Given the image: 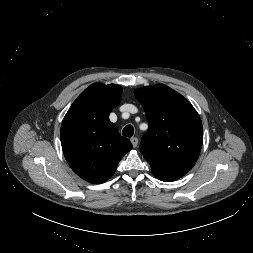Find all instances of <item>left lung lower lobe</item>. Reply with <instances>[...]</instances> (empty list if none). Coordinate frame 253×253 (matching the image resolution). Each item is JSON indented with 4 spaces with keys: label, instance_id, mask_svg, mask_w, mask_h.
Wrapping results in <instances>:
<instances>
[{
    "label": "left lung lower lobe",
    "instance_id": "left-lung-lower-lobe-1",
    "mask_svg": "<svg viewBox=\"0 0 253 253\" xmlns=\"http://www.w3.org/2000/svg\"><path fill=\"white\" fill-rule=\"evenodd\" d=\"M156 176V175H155ZM159 180L165 181V182H171V181H175V179H171V178H166V177H161V176H156Z\"/></svg>",
    "mask_w": 253,
    "mask_h": 253
}]
</instances>
